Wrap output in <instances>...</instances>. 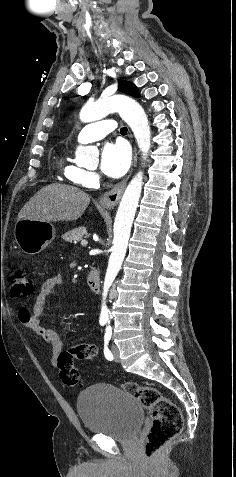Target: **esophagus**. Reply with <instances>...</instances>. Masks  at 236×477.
I'll return each mask as SVG.
<instances>
[{
	"mask_svg": "<svg viewBox=\"0 0 236 477\" xmlns=\"http://www.w3.org/2000/svg\"><path fill=\"white\" fill-rule=\"evenodd\" d=\"M136 161H137V153H136V148H134L133 167L135 166ZM129 176L125 180H123L121 183L117 184L111 191L101 196L100 204L103 207L110 209L118 204Z\"/></svg>",
	"mask_w": 236,
	"mask_h": 477,
	"instance_id": "1",
	"label": "esophagus"
}]
</instances>
